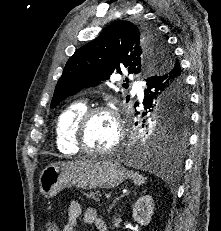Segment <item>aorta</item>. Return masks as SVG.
I'll return each instance as SVG.
<instances>
[{"label": "aorta", "instance_id": "1", "mask_svg": "<svg viewBox=\"0 0 221 231\" xmlns=\"http://www.w3.org/2000/svg\"><path fill=\"white\" fill-rule=\"evenodd\" d=\"M150 138H152V137H150ZM134 159V158H133ZM134 160H136V159H134ZM137 161V160H136ZM138 162H144V161H138Z\"/></svg>", "mask_w": 221, "mask_h": 231}]
</instances>
